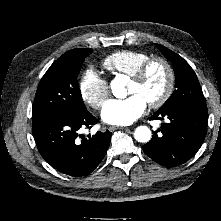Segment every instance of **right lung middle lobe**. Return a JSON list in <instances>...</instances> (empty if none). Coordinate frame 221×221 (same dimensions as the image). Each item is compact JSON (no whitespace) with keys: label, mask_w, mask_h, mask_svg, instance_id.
I'll return each instance as SVG.
<instances>
[{"label":"right lung middle lobe","mask_w":221,"mask_h":221,"mask_svg":"<svg viewBox=\"0 0 221 221\" xmlns=\"http://www.w3.org/2000/svg\"><path fill=\"white\" fill-rule=\"evenodd\" d=\"M92 49H72L56 60L42 77L33 104L32 121L86 111L77 77Z\"/></svg>","instance_id":"right-lung-middle-lobe-1"}]
</instances>
